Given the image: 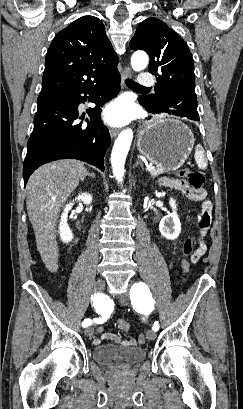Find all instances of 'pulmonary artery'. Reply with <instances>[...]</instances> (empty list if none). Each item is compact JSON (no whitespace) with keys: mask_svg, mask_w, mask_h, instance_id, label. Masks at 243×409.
I'll return each instance as SVG.
<instances>
[{"mask_svg":"<svg viewBox=\"0 0 243 409\" xmlns=\"http://www.w3.org/2000/svg\"><path fill=\"white\" fill-rule=\"evenodd\" d=\"M138 84L143 87H150L154 85V78L150 73H141L138 79Z\"/></svg>","mask_w":243,"mask_h":409,"instance_id":"pulmonary-artery-1","label":"pulmonary artery"}]
</instances>
